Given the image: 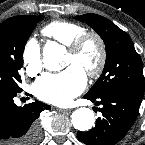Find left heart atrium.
<instances>
[{
	"label": "left heart atrium",
	"mask_w": 145,
	"mask_h": 145,
	"mask_svg": "<svg viewBox=\"0 0 145 145\" xmlns=\"http://www.w3.org/2000/svg\"><path fill=\"white\" fill-rule=\"evenodd\" d=\"M86 86V74L77 65H71L59 73H47L33 85L35 95L42 101L66 105Z\"/></svg>",
	"instance_id": "1"
}]
</instances>
